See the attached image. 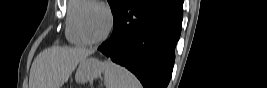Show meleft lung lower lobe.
Masks as SVG:
<instances>
[{
    "mask_svg": "<svg viewBox=\"0 0 267 88\" xmlns=\"http://www.w3.org/2000/svg\"><path fill=\"white\" fill-rule=\"evenodd\" d=\"M181 24V0H129L98 50L133 72L145 88H166Z\"/></svg>",
    "mask_w": 267,
    "mask_h": 88,
    "instance_id": "0a47b994",
    "label": "left lung lower lobe"
}]
</instances>
